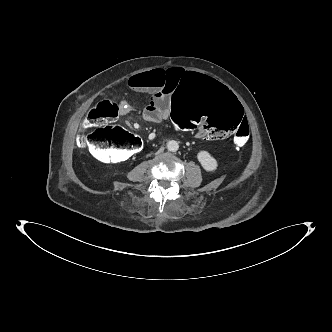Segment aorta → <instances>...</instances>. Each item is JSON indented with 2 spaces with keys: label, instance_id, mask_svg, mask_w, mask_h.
<instances>
[{
  "label": "aorta",
  "instance_id": "aorta-1",
  "mask_svg": "<svg viewBox=\"0 0 332 332\" xmlns=\"http://www.w3.org/2000/svg\"><path fill=\"white\" fill-rule=\"evenodd\" d=\"M167 149L171 152H176L179 149V144L175 140H170L167 142Z\"/></svg>",
  "mask_w": 332,
  "mask_h": 332
}]
</instances>
